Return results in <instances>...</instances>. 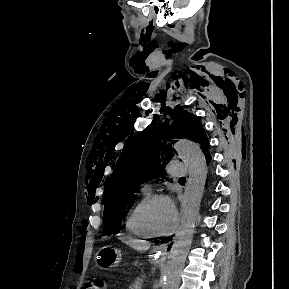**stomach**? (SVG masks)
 <instances>
[{
	"label": "stomach",
	"mask_w": 289,
	"mask_h": 289,
	"mask_svg": "<svg viewBox=\"0 0 289 289\" xmlns=\"http://www.w3.org/2000/svg\"><path fill=\"white\" fill-rule=\"evenodd\" d=\"M122 259L121 251L112 246L102 247L96 256V261L100 268L108 269L117 265Z\"/></svg>",
	"instance_id": "stomach-1"
}]
</instances>
